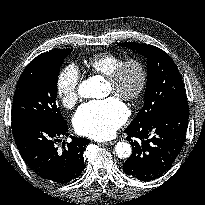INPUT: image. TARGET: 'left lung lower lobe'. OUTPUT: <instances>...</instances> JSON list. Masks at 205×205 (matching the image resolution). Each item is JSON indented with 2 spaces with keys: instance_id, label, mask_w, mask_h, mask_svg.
Here are the masks:
<instances>
[{
  "instance_id": "1",
  "label": "left lung lower lobe",
  "mask_w": 205,
  "mask_h": 205,
  "mask_svg": "<svg viewBox=\"0 0 205 205\" xmlns=\"http://www.w3.org/2000/svg\"><path fill=\"white\" fill-rule=\"evenodd\" d=\"M188 117V103H180L141 125L128 126L124 132L133 152L123 164L124 172L141 181L162 176L182 150Z\"/></svg>"
}]
</instances>
